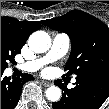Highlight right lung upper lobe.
I'll return each instance as SVG.
<instances>
[{
  "mask_svg": "<svg viewBox=\"0 0 109 109\" xmlns=\"http://www.w3.org/2000/svg\"><path fill=\"white\" fill-rule=\"evenodd\" d=\"M41 28L38 21L24 22L11 17H1V37L22 48L29 35Z\"/></svg>",
  "mask_w": 109,
  "mask_h": 109,
  "instance_id": "cb5924a9",
  "label": "right lung upper lobe"
}]
</instances>
